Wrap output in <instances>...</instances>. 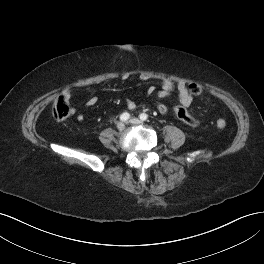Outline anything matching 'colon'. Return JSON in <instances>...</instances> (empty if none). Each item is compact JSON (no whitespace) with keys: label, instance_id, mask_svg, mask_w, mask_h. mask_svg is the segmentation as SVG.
I'll list each match as a JSON object with an SVG mask.
<instances>
[{"label":"colon","instance_id":"obj_1","mask_svg":"<svg viewBox=\"0 0 264 264\" xmlns=\"http://www.w3.org/2000/svg\"><path fill=\"white\" fill-rule=\"evenodd\" d=\"M188 91L190 94L198 96L202 94V87L197 83H190L188 85ZM173 112L176 117L191 127H198L200 122L189 114L186 108L180 105H175L173 107ZM70 115V106L68 101L60 96L54 103L53 106V116L58 121H63L67 119ZM216 125L219 129H224L226 127V121L224 119H218Z\"/></svg>","mask_w":264,"mask_h":264}]
</instances>
